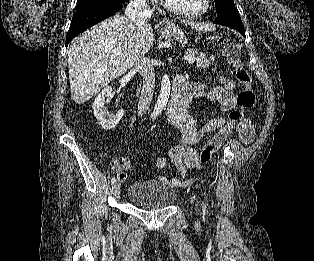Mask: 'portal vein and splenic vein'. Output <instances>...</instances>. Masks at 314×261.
Masks as SVG:
<instances>
[{"mask_svg":"<svg viewBox=\"0 0 314 261\" xmlns=\"http://www.w3.org/2000/svg\"><path fill=\"white\" fill-rule=\"evenodd\" d=\"M184 59L188 62V64H193L196 60V58L194 56H185ZM101 72L106 71V69H102L100 70Z\"/></svg>","mask_w":314,"mask_h":261,"instance_id":"obj_1","label":"portal vein and splenic vein"}]
</instances>
